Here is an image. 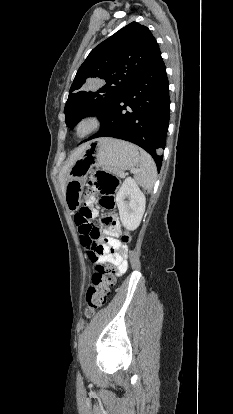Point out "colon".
I'll return each mask as SVG.
<instances>
[{
    "mask_svg": "<svg viewBox=\"0 0 233 414\" xmlns=\"http://www.w3.org/2000/svg\"><path fill=\"white\" fill-rule=\"evenodd\" d=\"M118 187L119 179L104 170H97L89 180V189L101 194L100 205L105 211L114 207V193ZM90 218L91 211L87 206H82L75 217L81 233L82 244L90 250L89 258L96 263L92 284L86 291L85 312L88 317H92L98 309L105 305L115 284V272L112 265L97 262L98 256L106 253L107 243L100 242V231L90 224ZM130 241V233L125 232L121 237V252L126 251ZM108 253L114 254V251L110 250Z\"/></svg>",
    "mask_w": 233,
    "mask_h": 414,
    "instance_id": "colon-1",
    "label": "colon"
}]
</instances>
